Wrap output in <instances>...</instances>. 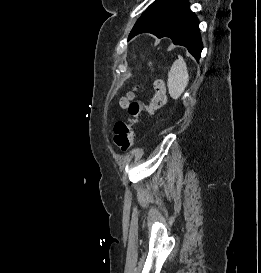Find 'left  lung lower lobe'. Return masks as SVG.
<instances>
[{"label":"left lung lower lobe","instance_id":"left-lung-lower-lobe-1","mask_svg":"<svg viewBox=\"0 0 261 273\" xmlns=\"http://www.w3.org/2000/svg\"><path fill=\"white\" fill-rule=\"evenodd\" d=\"M199 21L187 0H165L147 10L135 23L128 39L149 32L158 38L168 37L175 45L188 49L199 61L202 51Z\"/></svg>","mask_w":261,"mask_h":273}]
</instances>
